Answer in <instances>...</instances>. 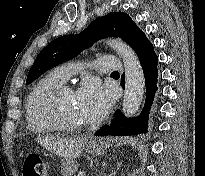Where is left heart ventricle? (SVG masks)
Instances as JSON below:
<instances>
[{
    "instance_id": "obj_1",
    "label": "left heart ventricle",
    "mask_w": 205,
    "mask_h": 176,
    "mask_svg": "<svg viewBox=\"0 0 205 176\" xmlns=\"http://www.w3.org/2000/svg\"><path fill=\"white\" fill-rule=\"evenodd\" d=\"M58 108L59 114L64 121L70 123H86L88 121L74 93L63 96L58 102Z\"/></svg>"
}]
</instances>
